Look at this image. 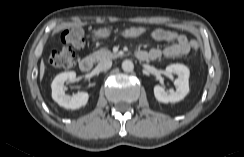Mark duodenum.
I'll return each instance as SVG.
<instances>
[{
    "mask_svg": "<svg viewBox=\"0 0 244 157\" xmlns=\"http://www.w3.org/2000/svg\"><path fill=\"white\" fill-rule=\"evenodd\" d=\"M136 56L140 60H146L145 56L142 53H136ZM93 60L90 57H84L79 62V68L81 71L88 73L92 70Z\"/></svg>",
    "mask_w": 244,
    "mask_h": 157,
    "instance_id": "1",
    "label": "duodenum"
}]
</instances>
